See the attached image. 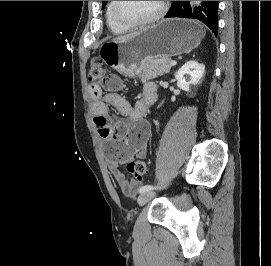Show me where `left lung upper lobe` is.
I'll return each mask as SVG.
<instances>
[{"instance_id": "5c2ea615", "label": "left lung upper lobe", "mask_w": 271, "mask_h": 266, "mask_svg": "<svg viewBox=\"0 0 271 266\" xmlns=\"http://www.w3.org/2000/svg\"><path fill=\"white\" fill-rule=\"evenodd\" d=\"M107 1H102V6H105Z\"/></svg>"}]
</instances>
